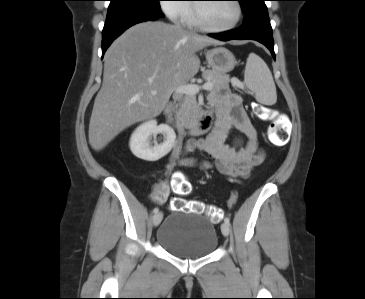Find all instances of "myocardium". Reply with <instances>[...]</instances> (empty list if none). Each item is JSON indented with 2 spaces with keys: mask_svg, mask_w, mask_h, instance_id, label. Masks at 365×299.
Masks as SVG:
<instances>
[{
  "mask_svg": "<svg viewBox=\"0 0 365 299\" xmlns=\"http://www.w3.org/2000/svg\"><path fill=\"white\" fill-rule=\"evenodd\" d=\"M232 1L235 3L236 9H237V16H236L235 21L231 25L226 26V27H213V26L208 25L204 21L202 15H201L199 4H194L192 6L194 25L204 31L211 32V33H224V32H229V31L235 29L242 20L243 8H242V5L239 0H232Z\"/></svg>",
  "mask_w": 365,
  "mask_h": 299,
  "instance_id": "myocardium-1",
  "label": "myocardium"
}]
</instances>
